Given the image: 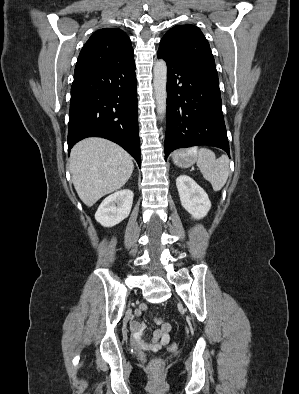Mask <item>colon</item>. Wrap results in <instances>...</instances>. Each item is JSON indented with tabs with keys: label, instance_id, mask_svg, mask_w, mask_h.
Instances as JSON below:
<instances>
[{
	"label": "colon",
	"instance_id": "obj_1",
	"mask_svg": "<svg viewBox=\"0 0 299 394\" xmlns=\"http://www.w3.org/2000/svg\"><path fill=\"white\" fill-rule=\"evenodd\" d=\"M175 347H176L175 344H172V345L170 346V348H172V349L175 348ZM162 364H163V362H162L161 359H158V358L153 359V360H151V362L149 363V369H150L152 372H158V371L161 369Z\"/></svg>",
	"mask_w": 299,
	"mask_h": 394
}]
</instances>
